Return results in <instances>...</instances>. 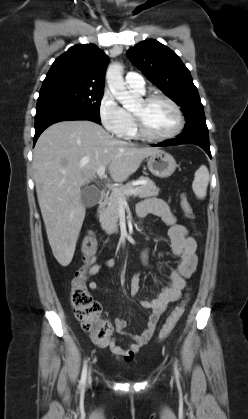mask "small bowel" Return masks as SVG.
Segmentation results:
<instances>
[{"label": "small bowel", "instance_id": "small-bowel-1", "mask_svg": "<svg viewBox=\"0 0 248 419\" xmlns=\"http://www.w3.org/2000/svg\"><path fill=\"white\" fill-rule=\"evenodd\" d=\"M137 213L140 217L149 214L159 216L169 227L168 236L172 253L178 257L177 266L171 271L169 276V284L154 298L143 299L140 305L151 313L146 322L145 328L141 333L133 335L132 343L126 348H122L116 342L115 338H111L106 344L101 345L102 348L109 349L116 357L126 362L133 360L135 354L147 344L156 329L157 322L164 312L165 308L173 302L179 300L181 292L186 285V280L195 272L198 257L196 255L197 242L189 235L186 226L177 222L176 216L172 213L169 205L158 198H148L138 205ZM140 259L145 267H149V250L144 249L140 254ZM115 266V260L108 258L100 263H93L88 270L89 276L97 274L103 268H112ZM140 272L132 275L129 283V292L131 296H136L140 290ZM90 290L95 291L98 284L90 281L88 284ZM117 332H122L127 321L122 318L114 320Z\"/></svg>", "mask_w": 248, "mask_h": 419}]
</instances>
